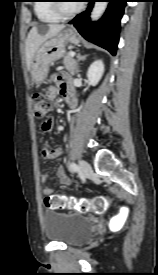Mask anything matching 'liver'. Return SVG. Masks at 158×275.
I'll return each instance as SVG.
<instances>
[{
  "label": "liver",
  "instance_id": "obj_1",
  "mask_svg": "<svg viewBox=\"0 0 158 275\" xmlns=\"http://www.w3.org/2000/svg\"><path fill=\"white\" fill-rule=\"evenodd\" d=\"M65 25L63 24H49L39 27H33L26 40V62L27 68L30 70L31 62L39 49V47L48 39L59 34Z\"/></svg>",
  "mask_w": 158,
  "mask_h": 275
}]
</instances>
